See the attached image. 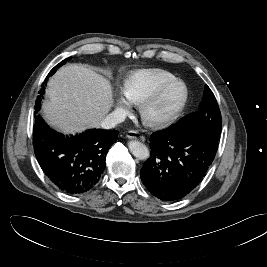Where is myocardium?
<instances>
[{
  "label": "myocardium",
  "mask_w": 267,
  "mask_h": 267,
  "mask_svg": "<svg viewBox=\"0 0 267 267\" xmlns=\"http://www.w3.org/2000/svg\"><path fill=\"white\" fill-rule=\"evenodd\" d=\"M181 89L180 98L169 107L158 110L167 96L176 89ZM189 97V91L186 84L182 81H175L152 96L145 99L139 107V114L142 122L152 128H161L173 123L183 112Z\"/></svg>",
  "instance_id": "f54148a6"
}]
</instances>
